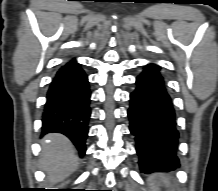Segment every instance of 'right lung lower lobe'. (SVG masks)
<instances>
[{
	"instance_id": "obj_1",
	"label": "right lung lower lobe",
	"mask_w": 218,
	"mask_h": 191,
	"mask_svg": "<svg viewBox=\"0 0 218 191\" xmlns=\"http://www.w3.org/2000/svg\"><path fill=\"white\" fill-rule=\"evenodd\" d=\"M90 95L87 75L73 59L57 71L42 114V134L58 132L66 135L81 157L86 152Z\"/></svg>"
}]
</instances>
